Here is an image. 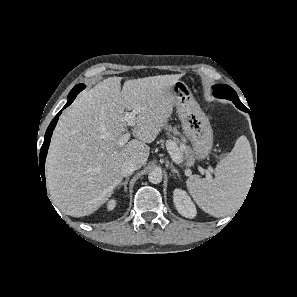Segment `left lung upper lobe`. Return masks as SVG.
Segmentation results:
<instances>
[{
	"label": "left lung upper lobe",
	"mask_w": 297,
	"mask_h": 297,
	"mask_svg": "<svg viewBox=\"0 0 297 297\" xmlns=\"http://www.w3.org/2000/svg\"><path fill=\"white\" fill-rule=\"evenodd\" d=\"M213 95L217 98H225L228 100L233 101L235 105H243L239 98L237 93L228 85L223 84H217L213 86ZM244 106V105H243Z\"/></svg>",
	"instance_id": "1"
}]
</instances>
